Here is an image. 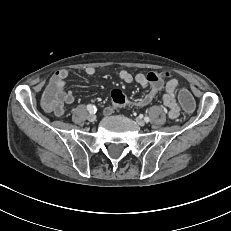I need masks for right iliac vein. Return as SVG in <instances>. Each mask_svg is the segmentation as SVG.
Wrapping results in <instances>:
<instances>
[{
	"label": "right iliac vein",
	"mask_w": 231,
	"mask_h": 231,
	"mask_svg": "<svg viewBox=\"0 0 231 231\" xmlns=\"http://www.w3.org/2000/svg\"><path fill=\"white\" fill-rule=\"evenodd\" d=\"M87 119L90 122H94L96 120V115L94 113H90V114H88Z\"/></svg>",
	"instance_id": "1"
}]
</instances>
